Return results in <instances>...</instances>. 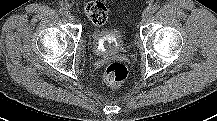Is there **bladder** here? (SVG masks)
Segmentation results:
<instances>
[{
    "label": "bladder",
    "mask_w": 217,
    "mask_h": 121,
    "mask_svg": "<svg viewBox=\"0 0 217 121\" xmlns=\"http://www.w3.org/2000/svg\"><path fill=\"white\" fill-rule=\"evenodd\" d=\"M94 52L101 56H112L124 49V40L119 29L108 32L95 31L92 35Z\"/></svg>",
    "instance_id": "31cf9c89"
}]
</instances>
